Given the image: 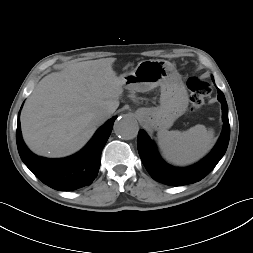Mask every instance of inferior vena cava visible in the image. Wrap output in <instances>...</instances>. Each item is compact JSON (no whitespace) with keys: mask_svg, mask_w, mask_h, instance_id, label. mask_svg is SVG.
I'll return each mask as SVG.
<instances>
[{"mask_svg":"<svg viewBox=\"0 0 253 253\" xmlns=\"http://www.w3.org/2000/svg\"><path fill=\"white\" fill-rule=\"evenodd\" d=\"M111 116L110 111H99L95 114L94 118L97 123H104Z\"/></svg>","mask_w":253,"mask_h":253,"instance_id":"inferior-vena-cava-1","label":"inferior vena cava"}]
</instances>
